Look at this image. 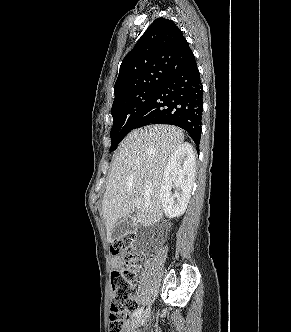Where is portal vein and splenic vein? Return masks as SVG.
Wrapping results in <instances>:
<instances>
[{
  "instance_id": "obj_1",
  "label": "portal vein and splenic vein",
  "mask_w": 291,
  "mask_h": 332,
  "mask_svg": "<svg viewBox=\"0 0 291 332\" xmlns=\"http://www.w3.org/2000/svg\"><path fill=\"white\" fill-rule=\"evenodd\" d=\"M135 204H136V205H138V204H139L138 200H136V201H135Z\"/></svg>"
}]
</instances>
